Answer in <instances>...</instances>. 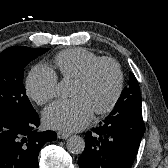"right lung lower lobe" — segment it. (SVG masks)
Instances as JSON below:
<instances>
[{
  "label": "right lung lower lobe",
  "instance_id": "obj_1",
  "mask_svg": "<svg viewBox=\"0 0 168 168\" xmlns=\"http://www.w3.org/2000/svg\"><path fill=\"white\" fill-rule=\"evenodd\" d=\"M40 119L35 112L21 116L0 113V168H38L42 146L54 141V131L36 132Z\"/></svg>",
  "mask_w": 168,
  "mask_h": 168
}]
</instances>
